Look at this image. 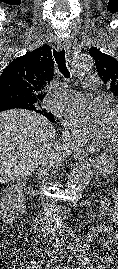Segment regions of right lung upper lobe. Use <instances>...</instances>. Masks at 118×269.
<instances>
[{"label":"right lung upper lobe","mask_w":118,"mask_h":269,"mask_svg":"<svg viewBox=\"0 0 118 269\" xmlns=\"http://www.w3.org/2000/svg\"><path fill=\"white\" fill-rule=\"evenodd\" d=\"M53 68L51 48L47 44L14 59L0 75V105L17 104L12 99L16 95L34 98L40 104L29 108L54 122L53 115L41 106L45 87L53 79Z\"/></svg>","instance_id":"right-lung-upper-lobe-1"}]
</instances>
